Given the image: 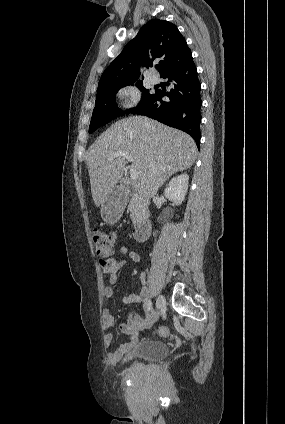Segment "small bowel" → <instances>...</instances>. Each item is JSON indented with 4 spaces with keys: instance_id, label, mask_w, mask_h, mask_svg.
Listing matches in <instances>:
<instances>
[{
    "instance_id": "1",
    "label": "small bowel",
    "mask_w": 285,
    "mask_h": 424,
    "mask_svg": "<svg viewBox=\"0 0 285 424\" xmlns=\"http://www.w3.org/2000/svg\"><path fill=\"white\" fill-rule=\"evenodd\" d=\"M120 254L123 258L112 270L103 268L101 271L103 275L108 276V283L103 288V296L105 298H111L113 296V286L117 283L118 279L117 271L124 266L126 258L128 257L133 263L140 261V255L126 246H122L120 248ZM140 281L143 285L145 284L146 276L144 273L140 274ZM123 302L125 304H144L146 317L143 318L136 312H131L128 320L119 325V331L127 336V341L117 346L113 351L107 353L106 361L112 365L117 364L121 360L122 356L132 349L139 341L140 333L150 328L153 324V319L151 317L152 313H150L151 311L149 310L148 291L145 287H143L139 293H130L125 295ZM115 321L116 319L113 313L107 310L103 312L102 325L105 330L113 328L115 326ZM112 341L113 334L111 332H107L104 335V343L106 345H110Z\"/></svg>"
}]
</instances>
